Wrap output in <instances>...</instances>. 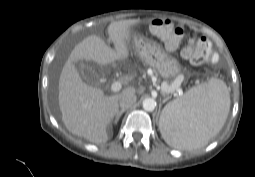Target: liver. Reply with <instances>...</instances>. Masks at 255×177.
<instances>
[{
    "label": "liver",
    "instance_id": "liver-1",
    "mask_svg": "<svg viewBox=\"0 0 255 177\" xmlns=\"http://www.w3.org/2000/svg\"><path fill=\"white\" fill-rule=\"evenodd\" d=\"M137 23V20H122L108 26L115 50L96 35L86 37L72 50L62 69L58 87L62 121L72 134L96 144L106 142L109 138L107 127L119 110L121 97L128 93L135 94L136 89L130 86L119 94L105 96L100 88L83 82L74 63L86 60L106 66L127 59L131 27Z\"/></svg>",
    "mask_w": 255,
    "mask_h": 177
}]
</instances>
